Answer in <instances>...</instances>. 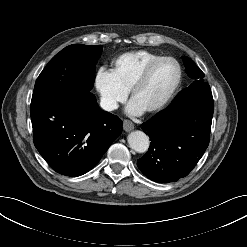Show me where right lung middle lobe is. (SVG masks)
<instances>
[{
    "label": "right lung middle lobe",
    "instance_id": "dd1d6c3e",
    "mask_svg": "<svg viewBox=\"0 0 247 247\" xmlns=\"http://www.w3.org/2000/svg\"><path fill=\"white\" fill-rule=\"evenodd\" d=\"M102 45L73 44L56 54L36 80L32 101L50 92L79 98L89 93L95 79V64Z\"/></svg>",
    "mask_w": 247,
    "mask_h": 247
}]
</instances>
